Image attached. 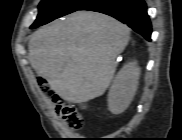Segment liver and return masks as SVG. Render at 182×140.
<instances>
[{"label":"liver","instance_id":"6515ba94","mask_svg":"<svg viewBox=\"0 0 182 140\" xmlns=\"http://www.w3.org/2000/svg\"><path fill=\"white\" fill-rule=\"evenodd\" d=\"M129 38L130 29L116 19L76 11L31 36L29 60L59 97L84 103L105 93Z\"/></svg>","mask_w":182,"mask_h":140}]
</instances>
